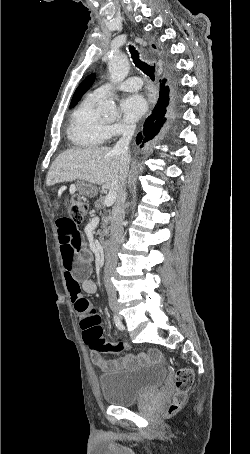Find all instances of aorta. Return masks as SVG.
<instances>
[{
  "mask_svg": "<svg viewBox=\"0 0 250 454\" xmlns=\"http://www.w3.org/2000/svg\"><path fill=\"white\" fill-rule=\"evenodd\" d=\"M108 70L111 81L122 82L129 74L130 64L123 53H115L108 62ZM98 111L102 115L114 117L117 115V107L113 97H107L99 102Z\"/></svg>",
  "mask_w": 250,
  "mask_h": 454,
  "instance_id": "aorta-1",
  "label": "aorta"
}]
</instances>
